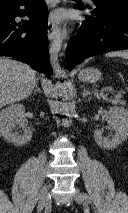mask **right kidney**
I'll use <instances>...</instances> for the list:
<instances>
[{
  "mask_svg": "<svg viewBox=\"0 0 128 213\" xmlns=\"http://www.w3.org/2000/svg\"><path fill=\"white\" fill-rule=\"evenodd\" d=\"M25 107L23 104H12L0 112V134L15 146H23L32 138V132L27 128ZM22 128L21 134L14 129Z\"/></svg>",
  "mask_w": 128,
  "mask_h": 213,
  "instance_id": "obj_1",
  "label": "right kidney"
}]
</instances>
